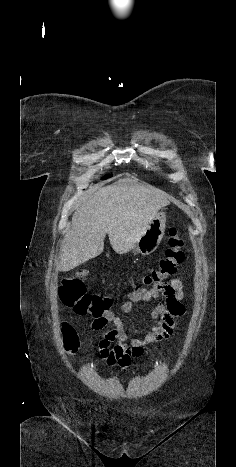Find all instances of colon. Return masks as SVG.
<instances>
[{
    "label": "colon",
    "instance_id": "obj_1",
    "mask_svg": "<svg viewBox=\"0 0 236 467\" xmlns=\"http://www.w3.org/2000/svg\"><path fill=\"white\" fill-rule=\"evenodd\" d=\"M183 240L177 227L169 229L168 247L165 255L153 266L143 278V284L150 288L164 285L167 279L174 276L177 267L184 259L182 250ZM86 271H81L75 276L66 277L60 286V299L63 305L72 308L78 315H93L100 317L110 311L112 300L108 296L90 294L87 292L84 278ZM65 349L74 353L78 349L79 341L76 332L69 324L63 325Z\"/></svg>",
    "mask_w": 236,
    "mask_h": 467
}]
</instances>
